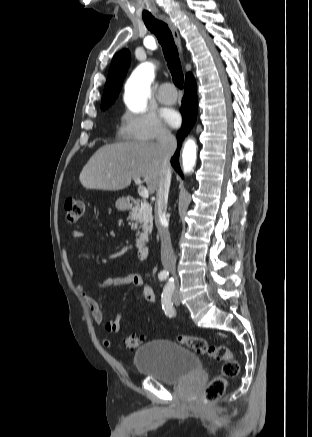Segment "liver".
Masks as SVG:
<instances>
[{
  "label": "liver",
  "mask_w": 312,
  "mask_h": 437,
  "mask_svg": "<svg viewBox=\"0 0 312 437\" xmlns=\"http://www.w3.org/2000/svg\"><path fill=\"white\" fill-rule=\"evenodd\" d=\"M159 173L158 143L128 141L99 148L83 167L79 180L86 189L118 191L139 176L153 194L157 191Z\"/></svg>",
  "instance_id": "1"
}]
</instances>
